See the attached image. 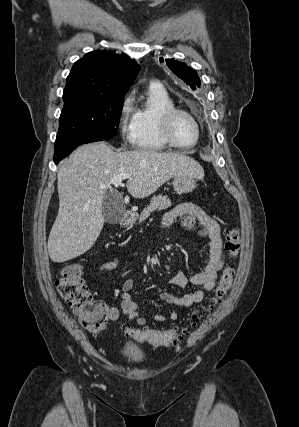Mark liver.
<instances>
[{
  "instance_id": "1",
  "label": "liver",
  "mask_w": 299,
  "mask_h": 427,
  "mask_svg": "<svg viewBox=\"0 0 299 427\" xmlns=\"http://www.w3.org/2000/svg\"><path fill=\"white\" fill-rule=\"evenodd\" d=\"M122 173L130 174L127 190L139 199L150 196L172 177L204 176L197 161L178 152H115L105 142L80 146L58 169L59 210L48 238L53 262L74 259L94 245L104 225L102 203L107 188Z\"/></svg>"
}]
</instances>
